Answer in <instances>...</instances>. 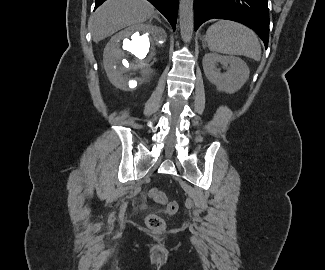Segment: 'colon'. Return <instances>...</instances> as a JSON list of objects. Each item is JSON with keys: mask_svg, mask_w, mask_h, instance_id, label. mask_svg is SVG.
<instances>
[{"mask_svg": "<svg viewBox=\"0 0 325 270\" xmlns=\"http://www.w3.org/2000/svg\"><path fill=\"white\" fill-rule=\"evenodd\" d=\"M150 194L157 203L164 205V211L167 214L172 215L178 211V203L174 200H169L163 192L157 189H152ZM146 225L150 229L162 230L165 227V221L158 214L151 213L146 217Z\"/></svg>", "mask_w": 325, "mask_h": 270, "instance_id": "obj_1", "label": "colon"}]
</instances>
